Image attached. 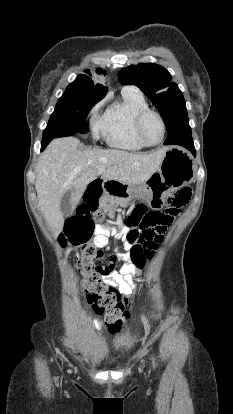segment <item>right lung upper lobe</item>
<instances>
[{
	"label": "right lung upper lobe",
	"instance_id": "right-lung-upper-lobe-1",
	"mask_svg": "<svg viewBox=\"0 0 233 414\" xmlns=\"http://www.w3.org/2000/svg\"><path fill=\"white\" fill-rule=\"evenodd\" d=\"M86 74H80L77 76L76 80L71 83L67 88L78 91L84 92L93 95L97 99H102L107 93V87L103 86L98 83H94L91 79V72L89 69L84 71ZM97 74H105V72L101 68H97Z\"/></svg>",
	"mask_w": 233,
	"mask_h": 414
}]
</instances>
